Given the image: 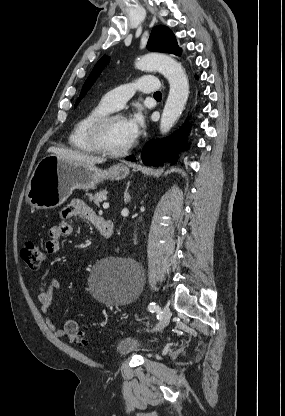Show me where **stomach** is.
Instances as JSON below:
<instances>
[{"label":"stomach","instance_id":"1","mask_svg":"<svg viewBox=\"0 0 285 416\" xmlns=\"http://www.w3.org/2000/svg\"><path fill=\"white\" fill-rule=\"evenodd\" d=\"M129 174L124 164L99 170L95 164L67 162L58 156H46L37 164L27 186L26 200L31 208L51 210L61 206L73 190H95L103 180H123Z\"/></svg>","mask_w":285,"mask_h":416}]
</instances>
